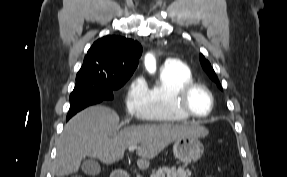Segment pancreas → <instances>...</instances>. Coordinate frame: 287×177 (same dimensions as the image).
Listing matches in <instances>:
<instances>
[{"label":"pancreas","instance_id":"pancreas-1","mask_svg":"<svg viewBox=\"0 0 287 177\" xmlns=\"http://www.w3.org/2000/svg\"><path fill=\"white\" fill-rule=\"evenodd\" d=\"M191 174L190 170L184 169L183 167H179L178 169L175 167H163L154 170L151 177H190Z\"/></svg>","mask_w":287,"mask_h":177}]
</instances>
